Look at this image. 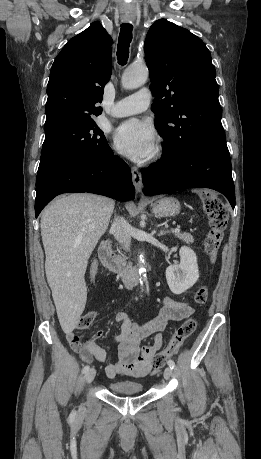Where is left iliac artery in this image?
<instances>
[{
    "instance_id": "44dca946",
    "label": "left iliac artery",
    "mask_w": 261,
    "mask_h": 459,
    "mask_svg": "<svg viewBox=\"0 0 261 459\" xmlns=\"http://www.w3.org/2000/svg\"><path fill=\"white\" fill-rule=\"evenodd\" d=\"M168 366L171 368V369H174L175 368V362L173 360H169L168 361Z\"/></svg>"
}]
</instances>
